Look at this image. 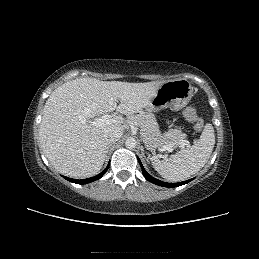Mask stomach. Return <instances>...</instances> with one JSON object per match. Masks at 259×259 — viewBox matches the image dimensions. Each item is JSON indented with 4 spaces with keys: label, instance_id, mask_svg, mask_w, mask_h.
Here are the masks:
<instances>
[{
    "label": "stomach",
    "instance_id": "stomach-1",
    "mask_svg": "<svg viewBox=\"0 0 259 259\" xmlns=\"http://www.w3.org/2000/svg\"><path fill=\"white\" fill-rule=\"evenodd\" d=\"M193 95V87L187 79H176L164 82L157 90L150 104L145 108L147 112H155L164 108L174 111L185 107ZM151 152L156 148L148 147Z\"/></svg>",
    "mask_w": 259,
    "mask_h": 259
}]
</instances>
